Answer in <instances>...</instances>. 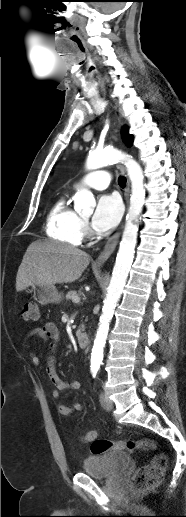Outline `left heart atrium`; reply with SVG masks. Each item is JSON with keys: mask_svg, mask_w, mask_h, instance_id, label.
<instances>
[{"mask_svg": "<svg viewBox=\"0 0 186 517\" xmlns=\"http://www.w3.org/2000/svg\"><path fill=\"white\" fill-rule=\"evenodd\" d=\"M122 212V202L117 195H103L97 202L92 224L100 232L111 230L119 222Z\"/></svg>", "mask_w": 186, "mask_h": 517, "instance_id": "39dd6f15", "label": "left heart atrium"}]
</instances>
